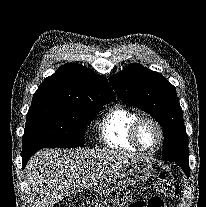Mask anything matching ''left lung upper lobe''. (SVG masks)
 <instances>
[{"label": "left lung upper lobe", "mask_w": 206, "mask_h": 207, "mask_svg": "<svg viewBox=\"0 0 206 207\" xmlns=\"http://www.w3.org/2000/svg\"><path fill=\"white\" fill-rule=\"evenodd\" d=\"M109 81L123 102L144 110L161 124L163 158L176 162L189 176L188 138L175 87L161 74L139 64H130Z\"/></svg>", "instance_id": "obj_1"}]
</instances>
